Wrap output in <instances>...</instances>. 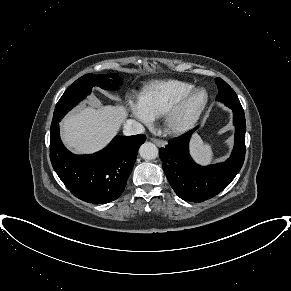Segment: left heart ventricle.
Instances as JSON below:
<instances>
[{
    "label": "left heart ventricle",
    "mask_w": 291,
    "mask_h": 291,
    "mask_svg": "<svg viewBox=\"0 0 291 291\" xmlns=\"http://www.w3.org/2000/svg\"><path fill=\"white\" fill-rule=\"evenodd\" d=\"M202 98H203L202 94L196 95L190 104L189 110L194 109L201 102Z\"/></svg>",
    "instance_id": "obj_1"
}]
</instances>
